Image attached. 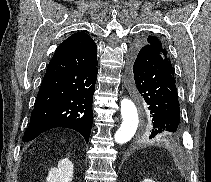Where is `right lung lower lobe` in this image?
Listing matches in <instances>:
<instances>
[{"mask_svg":"<svg viewBox=\"0 0 211 182\" xmlns=\"http://www.w3.org/2000/svg\"><path fill=\"white\" fill-rule=\"evenodd\" d=\"M97 65V46L87 34L58 46L42 80L24 142L46 130L65 127L78 131L88 143Z\"/></svg>","mask_w":211,"mask_h":182,"instance_id":"obj_1","label":"right lung lower lobe"}]
</instances>
